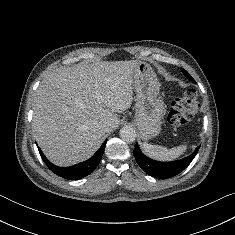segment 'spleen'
<instances>
[{"label": "spleen", "instance_id": "3e777b00", "mask_svg": "<svg viewBox=\"0 0 235 235\" xmlns=\"http://www.w3.org/2000/svg\"><path fill=\"white\" fill-rule=\"evenodd\" d=\"M142 149L147 156L153 159L161 160V161H170L182 155L187 150V146L179 145L177 147L167 149L165 147L152 145V144H148L144 142L142 144Z\"/></svg>", "mask_w": 235, "mask_h": 235}]
</instances>
